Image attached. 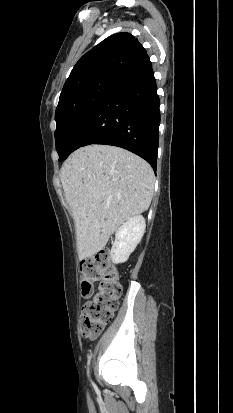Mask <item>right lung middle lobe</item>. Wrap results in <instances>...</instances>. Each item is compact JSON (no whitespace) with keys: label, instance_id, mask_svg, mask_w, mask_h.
<instances>
[{"label":"right lung middle lobe","instance_id":"right-lung-middle-lobe-1","mask_svg":"<svg viewBox=\"0 0 233 413\" xmlns=\"http://www.w3.org/2000/svg\"><path fill=\"white\" fill-rule=\"evenodd\" d=\"M115 80L114 77L96 78L60 97L55 114L59 161L66 156L80 129Z\"/></svg>","mask_w":233,"mask_h":413}]
</instances>
